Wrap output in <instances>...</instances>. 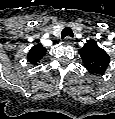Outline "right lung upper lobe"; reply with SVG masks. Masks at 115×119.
I'll use <instances>...</instances> for the list:
<instances>
[{
	"label": "right lung upper lobe",
	"mask_w": 115,
	"mask_h": 119,
	"mask_svg": "<svg viewBox=\"0 0 115 119\" xmlns=\"http://www.w3.org/2000/svg\"><path fill=\"white\" fill-rule=\"evenodd\" d=\"M46 51L47 50L45 49V47H43L42 44L38 43L30 49L27 55V59L31 64L37 65L42 57L46 54Z\"/></svg>",
	"instance_id": "obj_1"
}]
</instances>
